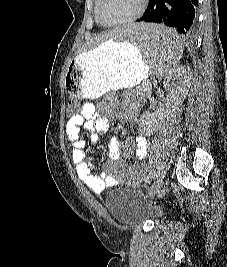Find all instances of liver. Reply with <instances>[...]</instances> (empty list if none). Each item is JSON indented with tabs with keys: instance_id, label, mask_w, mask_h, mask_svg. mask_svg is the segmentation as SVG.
<instances>
[{
	"instance_id": "1",
	"label": "liver",
	"mask_w": 227,
	"mask_h": 267,
	"mask_svg": "<svg viewBox=\"0 0 227 267\" xmlns=\"http://www.w3.org/2000/svg\"><path fill=\"white\" fill-rule=\"evenodd\" d=\"M121 30H116V28L106 31L102 33L101 35L96 36L95 38L92 39V45H99L109 39L115 38L117 36V33H121Z\"/></svg>"
}]
</instances>
